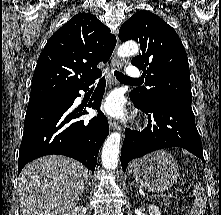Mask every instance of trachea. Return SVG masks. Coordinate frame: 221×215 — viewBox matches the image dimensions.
Instances as JSON below:
<instances>
[{
  "label": "trachea",
  "mask_w": 221,
  "mask_h": 215,
  "mask_svg": "<svg viewBox=\"0 0 221 215\" xmlns=\"http://www.w3.org/2000/svg\"><path fill=\"white\" fill-rule=\"evenodd\" d=\"M114 75L116 76L118 80H121V81L137 82L136 79L129 78L123 73L118 72V71H114Z\"/></svg>",
  "instance_id": "1"
}]
</instances>
